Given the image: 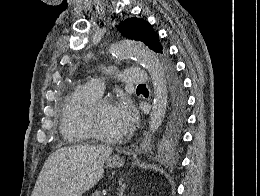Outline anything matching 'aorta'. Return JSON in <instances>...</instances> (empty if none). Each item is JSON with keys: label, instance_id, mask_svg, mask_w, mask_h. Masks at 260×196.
I'll list each match as a JSON object with an SVG mask.
<instances>
[{"label": "aorta", "instance_id": "762f6f07", "mask_svg": "<svg viewBox=\"0 0 260 196\" xmlns=\"http://www.w3.org/2000/svg\"><path fill=\"white\" fill-rule=\"evenodd\" d=\"M110 52L118 58L133 57L148 71L154 90L149 129L155 132L165 114L167 97L166 79L158 58L146 46L128 40L113 44Z\"/></svg>", "mask_w": 260, "mask_h": 196}]
</instances>
